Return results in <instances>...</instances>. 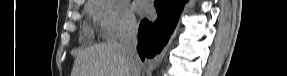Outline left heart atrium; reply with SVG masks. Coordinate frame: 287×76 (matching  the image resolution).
<instances>
[{
    "mask_svg": "<svg viewBox=\"0 0 287 76\" xmlns=\"http://www.w3.org/2000/svg\"><path fill=\"white\" fill-rule=\"evenodd\" d=\"M137 9L142 14H148L150 12V8L144 2H139L137 4Z\"/></svg>",
    "mask_w": 287,
    "mask_h": 76,
    "instance_id": "obj_1",
    "label": "left heart atrium"
}]
</instances>
